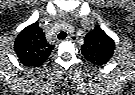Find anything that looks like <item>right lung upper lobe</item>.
<instances>
[{
    "mask_svg": "<svg viewBox=\"0 0 135 95\" xmlns=\"http://www.w3.org/2000/svg\"><path fill=\"white\" fill-rule=\"evenodd\" d=\"M53 48L54 46L46 41L38 22L23 29L14 42V51L19 61L27 67L41 66Z\"/></svg>",
    "mask_w": 135,
    "mask_h": 95,
    "instance_id": "right-lung-upper-lobe-1",
    "label": "right lung upper lobe"
}]
</instances>
